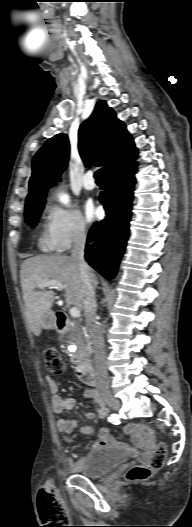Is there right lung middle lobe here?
I'll list each match as a JSON object with an SVG mask.
<instances>
[{"label":"right lung middle lobe","instance_id":"right-lung-middle-lobe-1","mask_svg":"<svg viewBox=\"0 0 192 527\" xmlns=\"http://www.w3.org/2000/svg\"><path fill=\"white\" fill-rule=\"evenodd\" d=\"M45 201H40L32 205H28L25 208V220L28 224L31 226H34L36 223V220L39 217V214L41 213L43 209Z\"/></svg>","mask_w":192,"mask_h":527}]
</instances>
